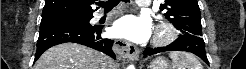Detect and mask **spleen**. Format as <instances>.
I'll return each mask as SVG.
<instances>
[{"label": "spleen", "instance_id": "spleen-1", "mask_svg": "<svg viewBox=\"0 0 246 69\" xmlns=\"http://www.w3.org/2000/svg\"><path fill=\"white\" fill-rule=\"evenodd\" d=\"M174 69H203L198 59L188 52L174 51L169 54Z\"/></svg>", "mask_w": 246, "mask_h": 69}]
</instances>
